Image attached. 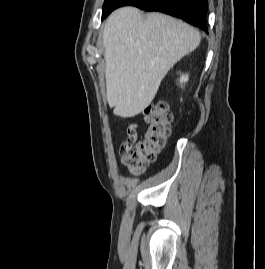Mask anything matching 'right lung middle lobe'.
I'll list each match as a JSON object with an SVG mask.
<instances>
[{
  "label": "right lung middle lobe",
  "instance_id": "right-lung-middle-lobe-1",
  "mask_svg": "<svg viewBox=\"0 0 265 269\" xmlns=\"http://www.w3.org/2000/svg\"><path fill=\"white\" fill-rule=\"evenodd\" d=\"M115 0H105L104 4H103V12H102V16L104 14H106V12L109 10V8L111 7L112 3Z\"/></svg>",
  "mask_w": 265,
  "mask_h": 269
}]
</instances>
